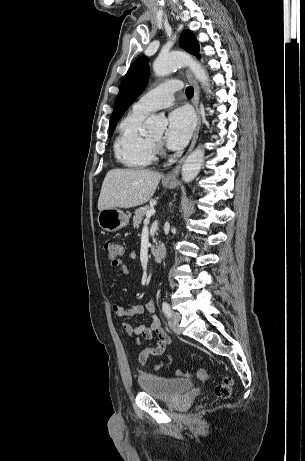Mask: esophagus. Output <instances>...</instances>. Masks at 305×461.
<instances>
[{"mask_svg":"<svg viewBox=\"0 0 305 461\" xmlns=\"http://www.w3.org/2000/svg\"><path fill=\"white\" fill-rule=\"evenodd\" d=\"M186 76H187L188 81L190 82V84L192 85V87L194 89V96H193L192 101H193V105L195 107L196 114H197V125H196L195 131H194V134H193V138H192V142L190 144V147H189L188 151L179 160L177 165L169 173H167L164 176V178H163L164 181H175L176 180V178H177V176L179 174V171H180L182 163L186 159L187 155L193 150V148H194V146L196 144L198 134H199V130H200V126H201V113H200V109H199V86H198L196 80L194 79L193 74L189 70H186Z\"/></svg>","mask_w":305,"mask_h":461,"instance_id":"1","label":"esophagus"}]
</instances>
